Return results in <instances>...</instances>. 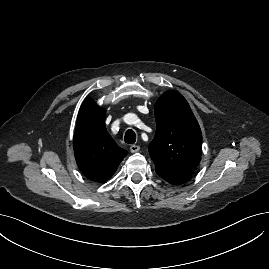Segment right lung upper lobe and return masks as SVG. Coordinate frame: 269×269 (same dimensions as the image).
Masks as SVG:
<instances>
[{
	"instance_id": "1",
	"label": "right lung upper lobe",
	"mask_w": 269,
	"mask_h": 269,
	"mask_svg": "<svg viewBox=\"0 0 269 269\" xmlns=\"http://www.w3.org/2000/svg\"><path fill=\"white\" fill-rule=\"evenodd\" d=\"M73 146L79 169L95 182L109 180L127 155L106 131L105 110L90 99L79 110Z\"/></svg>"
}]
</instances>
